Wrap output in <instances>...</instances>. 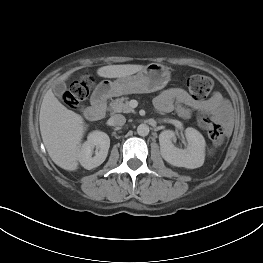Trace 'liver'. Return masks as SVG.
Returning a JSON list of instances; mask_svg holds the SVG:
<instances>
[{
    "label": "liver",
    "mask_w": 263,
    "mask_h": 263,
    "mask_svg": "<svg viewBox=\"0 0 263 263\" xmlns=\"http://www.w3.org/2000/svg\"><path fill=\"white\" fill-rule=\"evenodd\" d=\"M143 65H108L97 70L100 77L119 78L141 71ZM65 74L60 79H67ZM43 143L53 162L68 171L78 168V152L84 136V119L67 109L54 96L52 89L44 95L39 115Z\"/></svg>",
    "instance_id": "liver-1"
}]
</instances>
